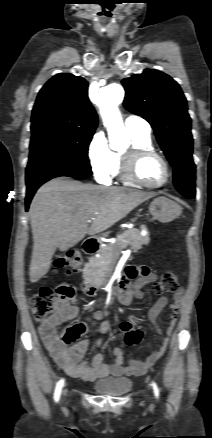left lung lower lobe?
Wrapping results in <instances>:
<instances>
[{"instance_id": "1", "label": "left lung lower lobe", "mask_w": 212, "mask_h": 438, "mask_svg": "<svg viewBox=\"0 0 212 438\" xmlns=\"http://www.w3.org/2000/svg\"><path fill=\"white\" fill-rule=\"evenodd\" d=\"M175 188L185 197H195V164L192 155H187L174 164Z\"/></svg>"}]
</instances>
